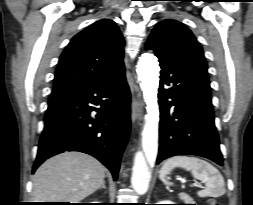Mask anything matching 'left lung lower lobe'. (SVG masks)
<instances>
[{"label": "left lung lower lobe", "instance_id": "0a47b994", "mask_svg": "<svg viewBox=\"0 0 253 205\" xmlns=\"http://www.w3.org/2000/svg\"><path fill=\"white\" fill-rule=\"evenodd\" d=\"M146 49L155 51L161 68L157 164L175 155L190 154L222 166L210 82L180 60L148 45Z\"/></svg>", "mask_w": 253, "mask_h": 205}]
</instances>
